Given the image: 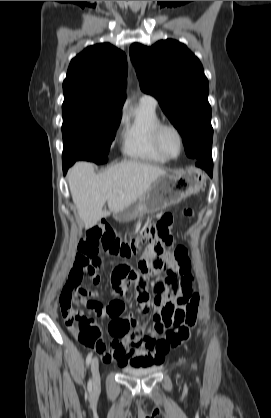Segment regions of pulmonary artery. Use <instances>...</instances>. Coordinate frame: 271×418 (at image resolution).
<instances>
[{
    "label": "pulmonary artery",
    "instance_id": "obj_1",
    "mask_svg": "<svg viewBox=\"0 0 271 418\" xmlns=\"http://www.w3.org/2000/svg\"><path fill=\"white\" fill-rule=\"evenodd\" d=\"M140 102L149 103V104L154 105V106H156V104H157L156 99L153 96L148 95V94H143L140 98Z\"/></svg>",
    "mask_w": 271,
    "mask_h": 418
}]
</instances>
